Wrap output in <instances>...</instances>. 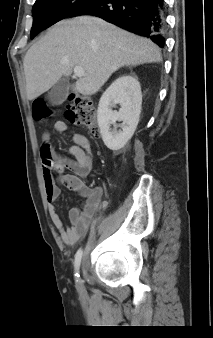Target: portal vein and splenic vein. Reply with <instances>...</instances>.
Returning <instances> with one entry per match:
<instances>
[{
    "mask_svg": "<svg viewBox=\"0 0 213 338\" xmlns=\"http://www.w3.org/2000/svg\"><path fill=\"white\" fill-rule=\"evenodd\" d=\"M74 74L78 77H82L85 75L83 68L79 66L74 68Z\"/></svg>",
    "mask_w": 213,
    "mask_h": 338,
    "instance_id": "portal-vein-and-splenic-vein-1",
    "label": "portal vein and splenic vein"
}]
</instances>
